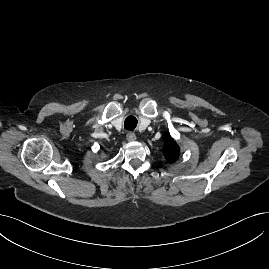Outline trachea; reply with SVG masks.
I'll list each match as a JSON object with an SVG mask.
<instances>
[{
	"mask_svg": "<svg viewBox=\"0 0 269 269\" xmlns=\"http://www.w3.org/2000/svg\"><path fill=\"white\" fill-rule=\"evenodd\" d=\"M137 123H138L137 119L134 116L130 115L125 119L124 128L126 130L132 131L136 128Z\"/></svg>",
	"mask_w": 269,
	"mask_h": 269,
	"instance_id": "1",
	"label": "trachea"
}]
</instances>
